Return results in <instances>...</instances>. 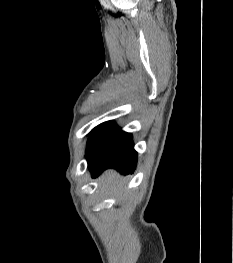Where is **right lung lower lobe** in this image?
Returning a JSON list of instances; mask_svg holds the SVG:
<instances>
[{"mask_svg": "<svg viewBox=\"0 0 233 263\" xmlns=\"http://www.w3.org/2000/svg\"><path fill=\"white\" fill-rule=\"evenodd\" d=\"M86 159L92 177H97L108 168L129 174L136 168L137 152L133 148L131 134L122 131L113 121H108L90 133Z\"/></svg>", "mask_w": 233, "mask_h": 263, "instance_id": "obj_1", "label": "right lung lower lobe"}]
</instances>
